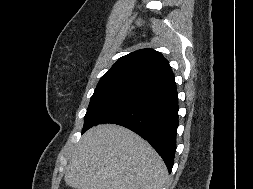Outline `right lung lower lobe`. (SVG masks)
Listing matches in <instances>:
<instances>
[{
  "label": "right lung lower lobe",
  "mask_w": 253,
  "mask_h": 189,
  "mask_svg": "<svg viewBox=\"0 0 253 189\" xmlns=\"http://www.w3.org/2000/svg\"><path fill=\"white\" fill-rule=\"evenodd\" d=\"M178 110L176 84L173 83L149 91L135 102L105 116L95 125L113 123L136 132L159 153L171 172L179 124Z\"/></svg>",
  "instance_id": "1"
}]
</instances>
